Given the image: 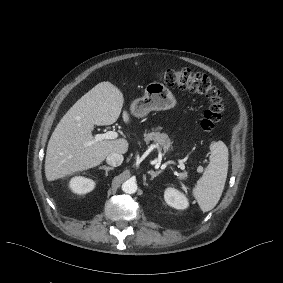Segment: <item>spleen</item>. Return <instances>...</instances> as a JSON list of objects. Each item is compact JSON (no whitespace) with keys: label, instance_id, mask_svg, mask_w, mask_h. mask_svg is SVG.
Segmentation results:
<instances>
[{"label":"spleen","instance_id":"spleen-1","mask_svg":"<svg viewBox=\"0 0 283 283\" xmlns=\"http://www.w3.org/2000/svg\"><path fill=\"white\" fill-rule=\"evenodd\" d=\"M210 161L204 176L197 182L194 194L203 211H209L216 206L225 187L229 151L223 141H217L210 147Z\"/></svg>","mask_w":283,"mask_h":283}]
</instances>
